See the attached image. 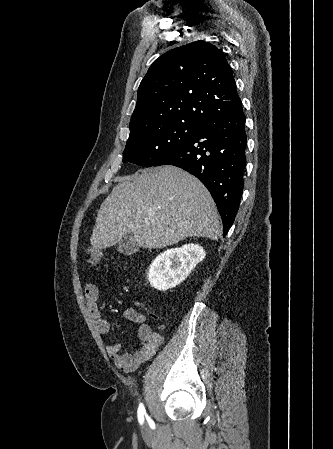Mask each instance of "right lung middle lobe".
Wrapping results in <instances>:
<instances>
[{
    "instance_id": "obj_1",
    "label": "right lung middle lobe",
    "mask_w": 333,
    "mask_h": 449,
    "mask_svg": "<svg viewBox=\"0 0 333 449\" xmlns=\"http://www.w3.org/2000/svg\"><path fill=\"white\" fill-rule=\"evenodd\" d=\"M200 125L187 121L172 122L130 138L123 152V162L155 166L191 138Z\"/></svg>"
}]
</instances>
